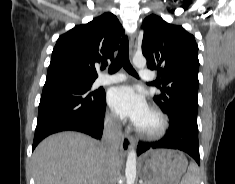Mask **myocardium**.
<instances>
[{
	"instance_id": "1",
	"label": "myocardium",
	"mask_w": 235,
	"mask_h": 184,
	"mask_svg": "<svg viewBox=\"0 0 235 184\" xmlns=\"http://www.w3.org/2000/svg\"><path fill=\"white\" fill-rule=\"evenodd\" d=\"M150 111L157 119L156 127L151 131L141 130L139 127L135 128V133L138 138L147 141H154L162 138L169 129V119L167 115L157 107H151Z\"/></svg>"
}]
</instances>
